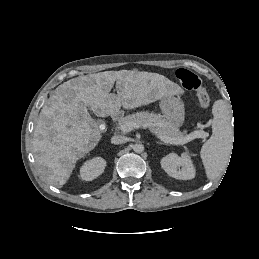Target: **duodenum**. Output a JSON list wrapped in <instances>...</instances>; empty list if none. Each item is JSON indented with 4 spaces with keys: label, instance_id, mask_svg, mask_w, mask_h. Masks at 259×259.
I'll list each match as a JSON object with an SVG mask.
<instances>
[{
    "label": "duodenum",
    "instance_id": "410a0bca",
    "mask_svg": "<svg viewBox=\"0 0 259 259\" xmlns=\"http://www.w3.org/2000/svg\"><path fill=\"white\" fill-rule=\"evenodd\" d=\"M117 116H118V115H117L116 113L113 114V115H112V120H116Z\"/></svg>",
    "mask_w": 259,
    "mask_h": 259
}]
</instances>
